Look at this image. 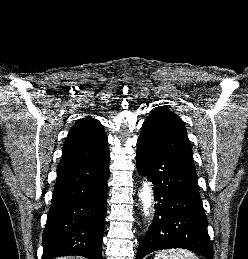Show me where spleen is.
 Returning <instances> with one entry per match:
<instances>
[{
	"instance_id": "obj_1",
	"label": "spleen",
	"mask_w": 248,
	"mask_h": 259,
	"mask_svg": "<svg viewBox=\"0 0 248 259\" xmlns=\"http://www.w3.org/2000/svg\"><path fill=\"white\" fill-rule=\"evenodd\" d=\"M154 259H199L193 252L186 249H169L158 252Z\"/></svg>"
}]
</instances>
